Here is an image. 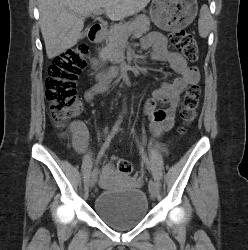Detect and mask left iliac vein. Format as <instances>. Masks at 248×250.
I'll return each instance as SVG.
<instances>
[{
    "mask_svg": "<svg viewBox=\"0 0 248 250\" xmlns=\"http://www.w3.org/2000/svg\"><path fill=\"white\" fill-rule=\"evenodd\" d=\"M148 186H149V192H150L151 196L156 197V195H157V185H156L155 181L151 179L149 181Z\"/></svg>",
    "mask_w": 248,
    "mask_h": 250,
    "instance_id": "left-iliac-vein-1",
    "label": "left iliac vein"
}]
</instances>
